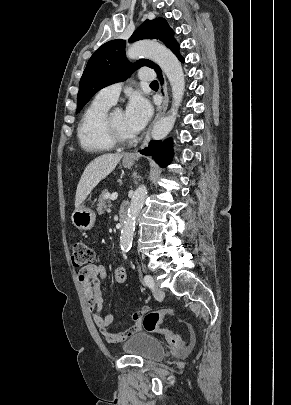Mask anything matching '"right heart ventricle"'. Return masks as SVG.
<instances>
[{"label": "right heart ventricle", "instance_id": "obj_1", "mask_svg": "<svg viewBox=\"0 0 291 405\" xmlns=\"http://www.w3.org/2000/svg\"><path fill=\"white\" fill-rule=\"evenodd\" d=\"M111 106L112 104L96 97L84 110L77 127L78 141L83 150L102 153L114 148L104 129L105 116Z\"/></svg>", "mask_w": 291, "mask_h": 405}]
</instances>
